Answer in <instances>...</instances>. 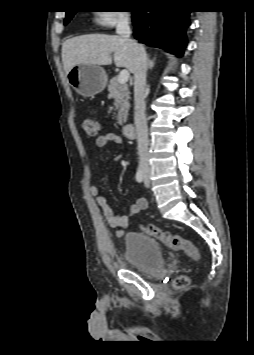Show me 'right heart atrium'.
I'll return each mask as SVG.
<instances>
[{
	"label": "right heart atrium",
	"mask_w": 254,
	"mask_h": 355,
	"mask_svg": "<svg viewBox=\"0 0 254 355\" xmlns=\"http://www.w3.org/2000/svg\"><path fill=\"white\" fill-rule=\"evenodd\" d=\"M130 15L125 11L102 10L98 12L96 21L104 27H114L129 22Z\"/></svg>",
	"instance_id": "right-heart-atrium-1"
}]
</instances>
